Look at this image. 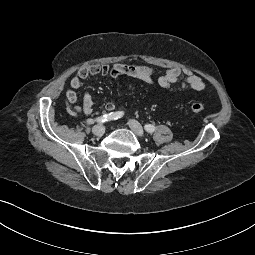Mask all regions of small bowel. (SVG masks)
Here are the masks:
<instances>
[{
    "instance_id": "small-bowel-1",
    "label": "small bowel",
    "mask_w": 255,
    "mask_h": 255,
    "mask_svg": "<svg viewBox=\"0 0 255 255\" xmlns=\"http://www.w3.org/2000/svg\"><path fill=\"white\" fill-rule=\"evenodd\" d=\"M128 76L139 79L147 84L155 85L162 88H170L172 86H179L182 88H191L196 91H201L205 88L203 79L190 72L181 70L179 68H169L164 73H159L155 69L144 65H128L124 63H114L112 65L106 64H92L81 68L70 80V89L66 92L67 101L71 104L77 101V94L75 90L81 88L84 82L95 76ZM93 99L89 92L83 95V104L81 107H74L73 113L79 115L84 113L89 115L93 112ZM107 111L112 112L116 106L113 102H108L105 105Z\"/></svg>"
}]
</instances>
